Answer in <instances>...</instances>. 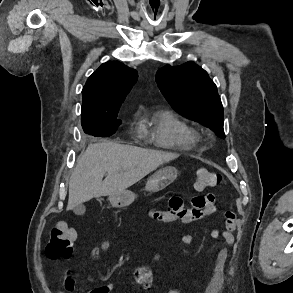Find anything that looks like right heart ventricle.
I'll list each match as a JSON object with an SVG mask.
<instances>
[{"label":"right heart ventricle","instance_id":"right-heart-ventricle-1","mask_svg":"<svg viewBox=\"0 0 293 293\" xmlns=\"http://www.w3.org/2000/svg\"><path fill=\"white\" fill-rule=\"evenodd\" d=\"M142 132L158 147L188 150L198 141L195 128L185 119L170 110L155 113Z\"/></svg>","mask_w":293,"mask_h":293}]
</instances>
